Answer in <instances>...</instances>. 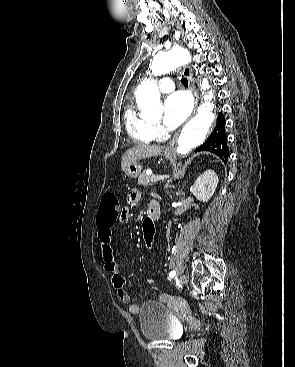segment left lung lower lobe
<instances>
[{
	"label": "left lung lower lobe",
	"instance_id": "left-lung-lower-lobe-1",
	"mask_svg": "<svg viewBox=\"0 0 295 367\" xmlns=\"http://www.w3.org/2000/svg\"><path fill=\"white\" fill-rule=\"evenodd\" d=\"M225 118L222 113H219L217 118V124L211 135L208 137L206 142L198 147L195 151H209L217 155L223 160L224 163L227 162L229 156V149L227 147L226 141L227 136L224 130Z\"/></svg>",
	"mask_w": 295,
	"mask_h": 367
}]
</instances>
